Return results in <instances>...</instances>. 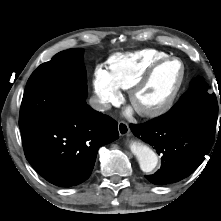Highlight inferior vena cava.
Masks as SVG:
<instances>
[{
	"label": "inferior vena cava",
	"instance_id": "1",
	"mask_svg": "<svg viewBox=\"0 0 221 221\" xmlns=\"http://www.w3.org/2000/svg\"><path fill=\"white\" fill-rule=\"evenodd\" d=\"M89 104L93 109L100 111V112H104V111L109 110L111 108V106L109 104L103 102L102 100H100L96 96H93L90 98Z\"/></svg>",
	"mask_w": 221,
	"mask_h": 221
}]
</instances>
